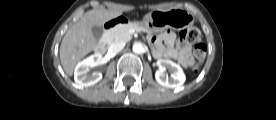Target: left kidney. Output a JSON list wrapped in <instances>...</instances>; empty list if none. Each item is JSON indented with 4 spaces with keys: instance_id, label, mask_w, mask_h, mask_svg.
Masks as SVG:
<instances>
[{
    "instance_id": "5707ae66",
    "label": "left kidney",
    "mask_w": 276,
    "mask_h": 120,
    "mask_svg": "<svg viewBox=\"0 0 276 120\" xmlns=\"http://www.w3.org/2000/svg\"><path fill=\"white\" fill-rule=\"evenodd\" d=\"M157 65L158 70L155 73V78L160 85L174 89L183 85L186 77L182 68L178 64L171 60L159 59ZM165 69H169L172 72L170 77L165 75Z\"/></svg>"
}]
</instances>
